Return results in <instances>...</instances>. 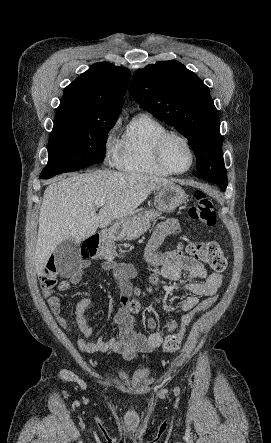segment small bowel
Returning <instances> with one entry per match:
<instances>
[{
	"label": "small bowel",
	"mask_w": 271,
	"mask_h": 443,
	"mask_svg": "<svg viewBox=\"0 0 271 443\" xmlns=\"http://www.w3.org/2000/svg\"><path fill=\"white\" fill-rule=\"evenodd\" d=\"M179 226L175 220H168L160 223L151 236L145 253V258L150 264H160L162 274L172 281H180L184 278L190 279L184 285V289L190 292L176 308L178 314L191 311L199 301V297L214 295L222 284L223 276L218 272H207L203 265L194 257L181 250H173L160 254L159 247L163 240L176 232ZM89 267L88 261H82L68 278L62 280L57 286L58 292H63L80 282L83 270ZM102 269L112 272L117 284L122 292L121 301L123 308L115 317L118 325V335L114 337L101 336L93 339V328L87 321L84 314L91 305L90 297L82 299L76 309L71 312L63 310L61 300L54 295V291L43 290V296L55 316L57 322L67 331H72V324L69 316L75 318L80 335L75 337L78 348L82 352H114L121 354L126 359H134L141 353H148L159 347L166 335L176 331L178 320L171 319L161 331L156 330V322L148 317L146 320L147 333L136 330L134 318L130 315L129 305L132 299V286L130 280L136 276V269L128 263H117L113 260H106L102 264Z\"/></svg>",
	"instance_id": "small-bowel-1"
}]
</instances>
